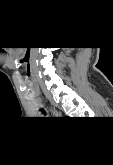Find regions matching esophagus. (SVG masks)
Segmentation results:
<instances>
[{"mask_svg":"<svg viewBox=\"0 0 113 165\" xmlns=\"http://www.w3.org/2000/svg\"><path fill=\"white\" fill-rule=\"evenodd\" d=\"M51 110H52V109H51ZM52 113H53L54 115H57V114H58V112L55 111V110H52Z\"/></svg>","mask_w":113,"mask_h":165,"instance_id":"34e87169","label":"esophagus"}]
</instances>
